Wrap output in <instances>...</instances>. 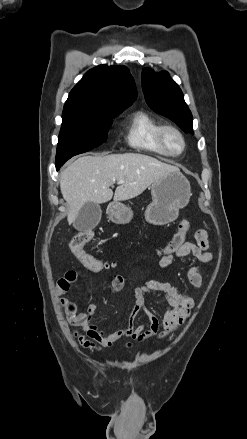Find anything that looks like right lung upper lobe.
I'll return each instance as SVG.
<instances>
[{
    "instance_id": "right-lung-upper-lobe-1",
    "label": "right lung upper lobe",
    "mask_w": 247,
    "mask_h": 439,
    "mask_svg": "<svg viewBox=\"0 0 247 439\" xmlns=\"http://www.w3.org/2000/svg\"><path fill=\"white\" fill-rule=\"evenodd\" d=\"M137 97L135 82L125 66L90 69L71 90L65 112H113L126 109Z\"/></svg>"
}]
</instances>
